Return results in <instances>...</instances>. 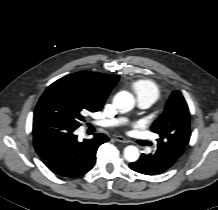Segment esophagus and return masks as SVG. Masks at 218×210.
Instances as JSON below:
<instances>
[{
    "mask_svg": "<svg viewBox=\"0 0 218 210\" xmlns=\"http://www.w3.org/2000/svg\"><path fill=\"white\" fill-rule=\"evenodd\" d=\"M115 140L117 142H121V143H128V140L126 138H124L123 136H116Z\"/></svg>",
    "mask_w": 218,
    "mask_h": 210,
    "instance_id": "obj_1",
    "label": "esophagus"
}]
</instances>
